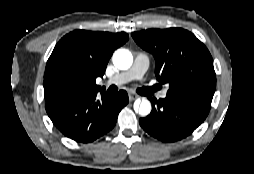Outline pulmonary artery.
Listing matches in <instances>:
<instances>
[{
	"instance_id": "obj_1",
	"label": "pulmonary artery",
	"mask_w": 254,
	"mask_h": 174,
	"mask_svg": "<svg viewBox=\"0 0 254 174\" xmlns=\"http://www.w3.org/2000/svg\"><path fill=\"white\" fill-rule=\"evenodd\" d=\"M149 66V58L145 53H138L133 65L128 70L122 71L107 80L108 84L122 85L132 80H140ZM167 90L160 92L159 97L165 98Z\"/></svg>"
}]
</instances>
